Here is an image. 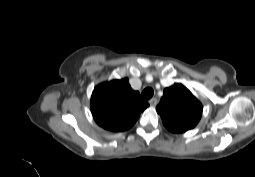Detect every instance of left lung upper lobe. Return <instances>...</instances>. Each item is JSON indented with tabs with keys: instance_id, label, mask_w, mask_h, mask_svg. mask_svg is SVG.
<instances>
[{
	"instance_id": "1",
	"label": "left lung upper lobe",
	"mask_w": 255,
	"mask_h": 177,
	"mask_svg": "<svg viewBox=\"0 0 255 177\" xmlns=\"http://www.w3.org/2000/svg\"><path fill=\"white\" fill-rule=\"evenodd\" d=\"M156 110L169 131L184 133L198 124L203 107L185 86L175 83L164 89Z\"/></svg>"
}]
</instances>
